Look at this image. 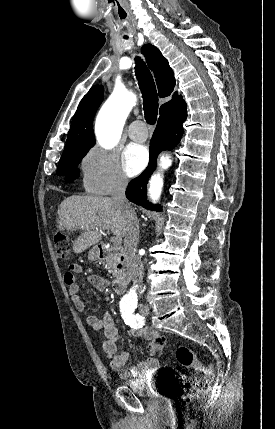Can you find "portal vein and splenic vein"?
<instances>
[{
    "instance_id": "obj_1",
    "label": "portal vein and splenic vein",
    "mask_w": 275,
    "mask_h": 429,
    "mask_svg": "<svg viewBox=\"0 0 275 429\" xmlns=\"http://www.w3.org/2000/svg\"><path fill=\"white\" fill-rule=\"evenodd\" d=\"M109 230V226H102V227H100L99 228V230L101 231V230ZM113 242H114V244L115 245H119V244H121V238L120 237H118V236H116L114 239H113Z\"/></svg>"
}]
</instances>
